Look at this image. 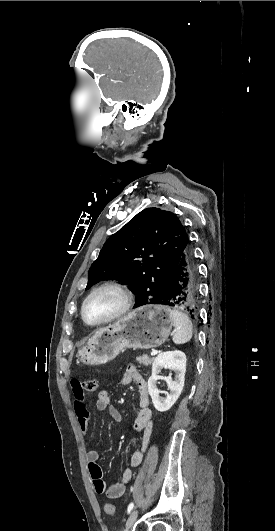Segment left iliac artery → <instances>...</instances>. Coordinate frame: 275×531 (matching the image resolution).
<instances>
[{"label":"left iliac artery","mask_w":275,"mask_h":531,"mask_svg":"<svg viewBox=\"0 0 275 531\" xmlns=\"http://www.w3.org/2000/svg\"><path fill=\"white\" fill-rule=\"evenodd\" d=\"M133 508H134V503H130L127 509L128 514L133 510Z\"/></svg>","instance_id":"obj_1"}]
</instances>
